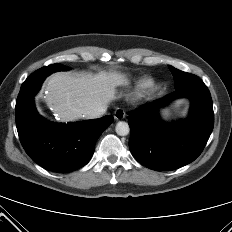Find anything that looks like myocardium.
Here are the masks:
<instances>
[{"instance_id": "obj_1", "label": "myocardium", "mask_w": 232, "mask_h": 232, "mask_svg": "<svg viewBox=\"0 0 232 232\" xmlns=\"http://www.w3.org/2000/svg\"><path fill=\"white\" fill-rule=\"evenodd\" d=\"M151 86V81L149 79H143L140 83V88L143 90H147Z\"/></svg>"}]
</instances>
